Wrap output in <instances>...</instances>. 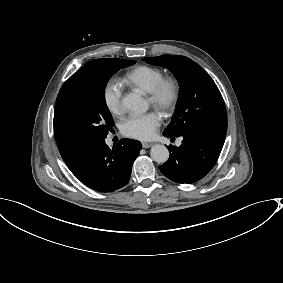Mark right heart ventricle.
Listing matches in <instances>:
<instances>
[{"label":"right heart ventricle","instance_id":"obj_1","mask_svg":"<svg viewBox=\"0 0 283 283\" xmlns=\"http://www.w3.org/2000/svg\"><path fill=\"white\" fill-rule=\"evenodd\" d=\"M163 75V71L159 68L147 64H138L125 71L123 82L126 85L137 86L149 92L163 78Z\"/></svg>","mask_w":283,"mask_h":283}]
</instances>
